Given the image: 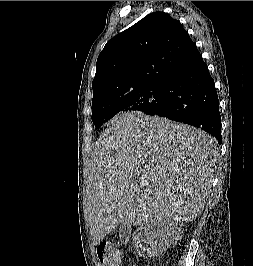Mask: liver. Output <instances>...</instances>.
<instances>
[{
	"instance_id": "1",
	"label": "liver",
	"mask_w": 253,
	"mask_h": 266,
	"mask_svg": "<svg viewBox=\"0 0 253 266\" xmlns=\"http://www.w3.org/2000/svg\"><path fill=\"white\" fill-rule=\"evenodd\" d=\"M218 157L217 141L201 129L140 112L115 116L89 160L93 244L119 224L195 220L204 209Z\"/></svg>"
}]
</instances>
